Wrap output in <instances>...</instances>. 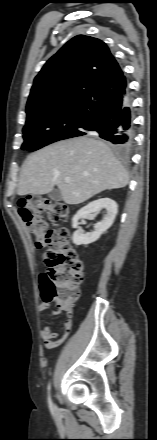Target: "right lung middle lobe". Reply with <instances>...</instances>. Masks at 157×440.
Masks as SVG:
<instances>
[{"label": "right lung middle lobe", "instance_id": "dd1d6c3e", "mask_svg": "<svg viewBox=\"0 0 157 440\" xmlns=\"http://www.w3.org/2000/svg\"><path fill=\"white\" fill-rule=\"evenodd\" d=\"M84 125H68L42 120L26 121L23 128V150L35 151L55 141L85 135Z\"/></svg>", "mask_w": 157, "mask_h": 440}]
</instances>
